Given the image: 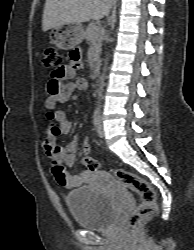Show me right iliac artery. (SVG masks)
Wrapping results in <instances>:
<instances>
[{
	"instance_id": "1",
	"label": "right iliac artery",
	"mask_w": 194,
	"mask_h": 250,
	"mask_svg": "<svg viewBox=\"0 0 194 250\" xmlns=\"http://www.w3.org/2000/svg\"><path fill=\"white\" fill-rule=\"evenodd\" d=\"M100 119H101L100 113L97 112V113H95V114L93 115V124H94L95 128L98 127L99 122H100Z\"/></svg>"
}]
</instances>
